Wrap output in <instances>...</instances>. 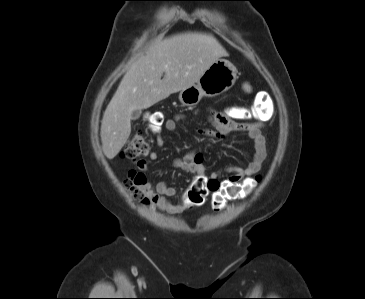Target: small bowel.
Here are the masks:
<instances>
[{
	"label": "small bowel",
	"mask_w": 365,
	"mask_h": 299,
	"mask_svg": "<svg viewBox=\"0 0 365 299\" xmlns=\"http://www.w3.org/2000/svg\"><path fill=\"white\" fill-rule=\"evenodd\" d=\"M181 116L169 118L164 122L163 130L172 132L177 127V122L181 119ZM210 122L213 128H199L198 132L210 138L222 139L229 133L235 131H244L253 142L254 153L251 161L246 167L233 168L228 172V176L223 181H220V174L213 173L211 175L206 174L205 167L203 165V156L200 153H188L181 158L174 160L173 165L178 169H182L191 173H194L198 180L197 183H230L239 181L244 177L253 176L257 174L267 157V147L265 138L262 135L261 129L263 126V120H247L237 122L232 119L225 118L224 116L212 112L210 116ZM163 130L157 132L156 142L157 145L162 147L164 140L162 138ZM150 160L156 161L159 159V154L156 151H151L148 154ZM138 168L141 171L148 169L145 161L138 163ZM144 192L149 197L152 205L160 210H164L170 213H178L182 210L180 205H174L170 203L167 198L175 195V189L166 182H157L154 186L145 185Z\"/></svg>",
	"instance_id": "c3829d8e"
}]
</instances>
